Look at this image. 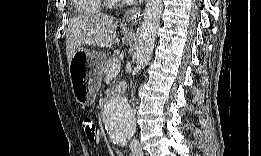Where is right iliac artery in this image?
I'll use <instances>...</instances> for the list:
<instances>
[{
  "mask_svg": "<svg viewBox=\"0 0 261 156\" xmlns=\"http://www.w3.org/2000/svg\"><path fill=\"white\" fill-rule=\"evenodd\" d=\"M114 143L116 144V143H118V141L116 142V141H114Z\"/></svg>",
  "mask_w": 261,
  "mask_h": 156,
  "instance_id": "1",
  "label": "right iliac artery"
}]
</instances>
